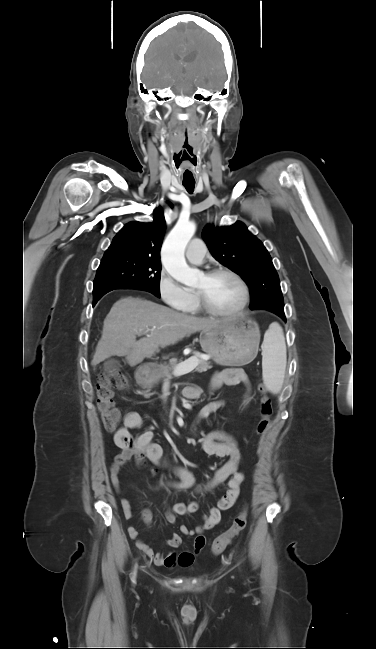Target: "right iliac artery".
<instances>
[{"label": "right iliac artery", "instance_id": "1", "mask_svg": "<svg viewBox=\"0 0 376 649\" xmlns=\"http://www.w3.org/2000/svg\"><path fill=\"white\" fill-rule=\"evenodd\" d=\"M135 573H136V572L134 571V576H133V580H134V577H135Z\"/></svg>", "mask_w": 376, "mask_h": 649}]
</instances>
